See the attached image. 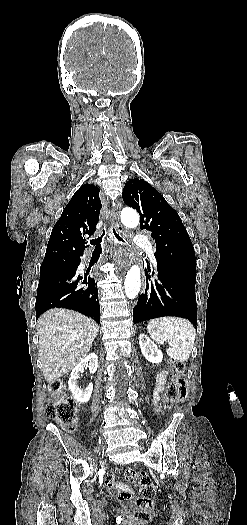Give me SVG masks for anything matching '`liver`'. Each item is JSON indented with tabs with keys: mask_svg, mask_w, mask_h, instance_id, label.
<instances>
[{
	"mask_svg": "<svg viewBox=\"0 0 247 525\" xmlns=\"http://www.w3.org/2000/svg\"><path fill=\"white\" fill-rule=\"evenodd\" d=\"M39 357L43 377L55 383L87 357L99 327L93 319L69 309H49L38 319Z\"/></svg>",
	"mask_w": 247,
	"mask_h": 525,
	"instance_id": "obj_1",
	"label": "liver"
}]
</instances>
